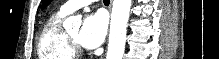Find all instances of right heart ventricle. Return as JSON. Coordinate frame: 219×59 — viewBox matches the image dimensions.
Instances as JSON below:
<instances>
[{
  "instance_id": "right-heart-ventricle-1",
  "label": "right heart ventricle",
  "mask_w": 219,
  "mask_h": 59,
  "mask_svg": "<svg viewBox=\"0 0 219 59\" xmlns=\"http://www.w3.org/2000/svg\"><path fill=\"white\" fill-rule=\"evenodd\" d=\"M65 14H53L44 24L37 42L39 59H73L74 52L69 46L66 32L61 26Z\"/></svg>"
}]
</instances>
